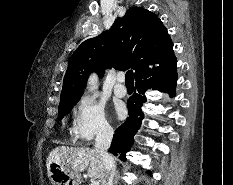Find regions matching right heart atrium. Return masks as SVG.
Segmentation results:
<instances>
[{
  "label": "right heart atrium",
  "instance_id": "right-heart-atrium-1",
  "mask_svg": "<svg viewBox=\"0 0 233 185\" xmlns=\"http://www.w3.org/2000/svg\"><path fill=\"white\" fill-rule=\"evenodd\" d=\"M112 131L104 106L94 97H83L77 104L72 122V135L81 143L95 137L106 136Z\"/></svg>",
  "mask_w": 233,
  "mask_h": 185
}]
</instances>
